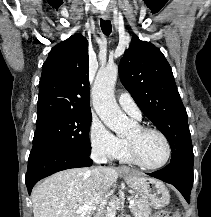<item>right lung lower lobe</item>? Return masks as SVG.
<instances>
[{
    "instance_id": "right-lung-lower-lobe-1",
    "label": "right lung lower lobe",
    "mask_w": 211,
    "mask_h": 217,
    "mask_svg": "<svg viewBox=\"0 0 211 217\" xmlns=\"http://www.w3.org/2000/svg\"><path fill=\"white\" fill-rule=\"evenodd\" d=\"M90 154H80L56 147H39L32 149L28 159L26 186L31 193L33 186L41 179L70 168L92 165Z\"/></svg>"
}]
</instances>
